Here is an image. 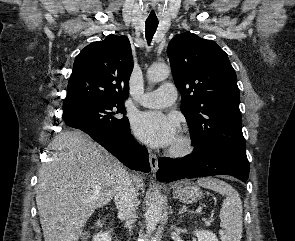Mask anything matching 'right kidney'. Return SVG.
Here are the masks:
<instances>
[{
    "label": "right kidney",
    "mask_w": 295,
    "mask_h": 241,
    "mask_svg": "<svg viewBox=\"0 0 295 241\" xmlns=\"http://www.w3.org/2000/svg\"><path fill=\"white\" fill-rule=\"evenodd\" d=\"M96 224L97 226H102L100 220ZM93 241H111V237L107 232H99L93 236Z\"/></svg>",
    "instance_id": "1"
}]
</instances>
